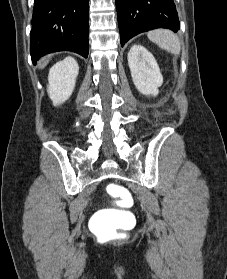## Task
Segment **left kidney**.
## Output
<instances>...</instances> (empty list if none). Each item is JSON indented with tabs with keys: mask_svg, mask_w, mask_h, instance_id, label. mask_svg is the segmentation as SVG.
Here are the masks:
<instances>
[{
	"mask_svg": "<svg viewBox=\"0 0 227 279\" xmlns=\"http://www.w3.org/2000/svg\"><path fill=\"white\" fill-rule=\"evenodd\" d=\"M128 65L138 91L147 96H157L163 76L154 56L143 46L133 45L128 53Z\"/></svg>",
	"mask_w": 227,
	"mask_h": 279,
	"instance_id": "1",
	"label": "left kidney"
}]
</instances>
